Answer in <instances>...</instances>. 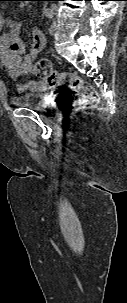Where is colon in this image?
<instances>
[{
  "instance_id": "1",
  "label": "colon",
  "mask_w": 127,
  "mask_h": 303,
  "mask_svg": "<svg viewBox=\"0 0 127 303\" xmlns=\"http://www.w3.org/2000/svg\"><path fill=\"white\" fill-rule=\"evenodd\" d=\"M35 71L50 86L65 89L59 97V102L65 109H73L75 106L92 107L98 102V95L91 84L72 72L53 69L47 58L35 61Z\"/></svg>"
}]
</instances>
